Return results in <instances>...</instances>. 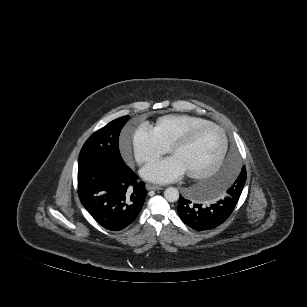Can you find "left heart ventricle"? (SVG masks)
I'll list each match as a JSON object with an SVG mask.
<instances>
[{"mask_svg": "<svg viewBox=\"0 0 307 307\" xmlns=\"http://www.w3.org/2000/svg\"><path fill=\"white\" fill-rule=\"evenodd\" d=\"M222 148V137L212 127L201 130L186 146L172 154L183 166L185 173L200 172L211 168Z\"/></svg>", "mask_w": 307, "mask_h": 307, "instance_id": "b2bd125f", "label": "left heart ventricle"}]
</instances>
